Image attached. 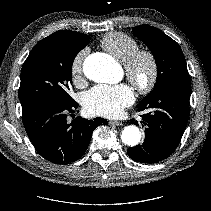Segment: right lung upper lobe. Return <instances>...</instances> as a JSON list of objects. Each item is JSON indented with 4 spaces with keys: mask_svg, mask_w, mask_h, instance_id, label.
Wrapping results in <instances>:
<instances>
[{
    "mask_svg": "<svg viewBox=\"0 0 211 211\" xmlns=\"http://www.w3.org/2000/svg\"><path fill=\"white\" fill-rule=\"evenodd\" d=\"M80 34L81 33H78L75 31L61 30V31H57V32L53 33L52 35L48 36L47 38L60 40V39H65V38L80 35ZM82 35H84V34H82Z\"/></svg>",
    "mask_w": 211,
    "mask_h": 211,
    "instance_id": "1",
    "label": "right lung upper lobe"
}]
</instances>
